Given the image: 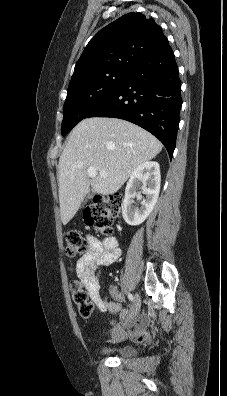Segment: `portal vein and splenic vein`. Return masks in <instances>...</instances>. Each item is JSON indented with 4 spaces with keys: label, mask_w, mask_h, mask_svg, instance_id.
Returning <instances> with one entry per match:
<instances>
[{
    "label": "portal vein and splenic vein",
    "mask_w": 227,
    "mask_h": 396,
    "mask_svg": "<svg viewBox=\"0 0 227 396\" xmlns=\"http://www.w3.org/2000/svg\"><path fill=\"white\" fill-rule=\"evenodd\" d=\"M87 173H88V176L91 177V178H94L97 175V171H96V169L94 167L88 168ZM99 174L102 177H106L107 176V173L105 171H101Z\"/></svg>",
    "instance_id": "18ae733b"
}]
</instances>
